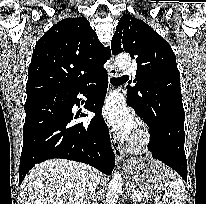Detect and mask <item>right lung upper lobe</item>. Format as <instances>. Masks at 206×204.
<instances>
[{
    "label": "right lung upper lobe",
    "instance_id": "obj_1",
    "mask_svg": "<svg viewBox=\"0 0 206 204\" xmlns=\"http://www.w3.org/2000/svg\"><path fill=\"white\" fill-rule=\"evenodd\" d=\"M86 18L53 25L36 43L28 69L27 96L72 91L86 84L110 57Z\"/></svg>",
    "mask_w": 206,
    "mask_h": 204
}]
</instances>
